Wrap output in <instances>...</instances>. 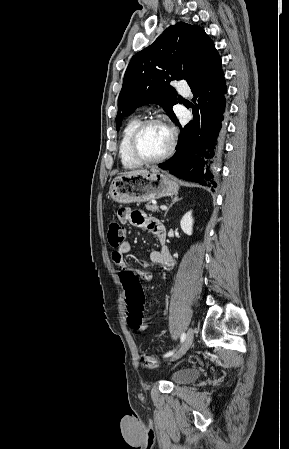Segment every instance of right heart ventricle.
I'll list each match as a JSON object with an SVG mask.
<instances>
[{"instance_id": "right-heart-ventricle-1", "label": "right heart ventricle", "mask_w": 289, "mask_h": 449, "mask_svg": "<svg viewBox=\"0 0 289 449\" xmlns=\"http://www.w3.org/2000/svg\"><path fill=\"white\" fill-rule=\"evenodd\" d=\"M140 121L141 119L138 116L132 117L127 121L122 131L121 141L119 145V157L122 165L128 169L136 168L141 165V163L134 159L130 149V139L132 133L140 123Z\"/></svg>"}]
</instances>
